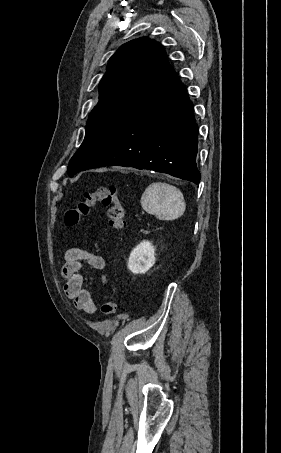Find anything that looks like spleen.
<instances>
[{
    "mask_svg": "<svg viewBox=\"0 0 281 453\" xmlns=\"http://www.w3.org/2000/svg\"><path fill=\"white\" fill-rule=\"evenodd\" d=\"M141 206L159 220H175L182 216L186 208L181 190L166 182L149 184L141 196Z\"/></svg>",
    "mask_w": 281,
    "mask_h": 453,
    "instance_id": "3e777b00",
    "label": "spleen"
}]
</instances>
